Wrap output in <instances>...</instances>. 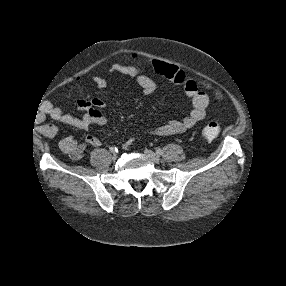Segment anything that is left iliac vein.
I'll use <instances>...</instances> for the list:
<instances>
[{"instance_id":"1","label":"left iliac vein","mask_w":286,"mask_h":286,"mask_svg":"<svg viewBox=\"0 0 286 286\" xmlns=\"http://www.w3.org/2000/svg\"><path fill=\"white\" fill-rule=\"evenodd\" d=\"M144 153L146 154V156L154 163H159L161 161V158L158 154L154 153L151 150L146 149L144 151Z\"/></svg>"}]
</instances>
